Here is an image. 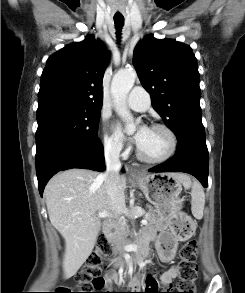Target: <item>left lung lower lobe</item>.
<instances>
[{
	"label": "left lung lower lobe",
	"mask_w": 245,
	"mask_h": 293,
	"mask_svg": "<svg viewBox=\"0 0 245 293\" xmlns=\"http://www.w3.org/2000/svg\"><path fill=\"white\" fill-rule=\"evenodd\" d=\"M208 149L206 141L197 138L178 139L175 155L149 172H186L208 186Z\"/></svg>",
	"instance_id": "0a47b994"
}]
</instances>
